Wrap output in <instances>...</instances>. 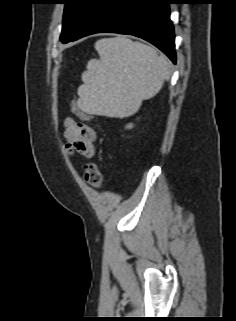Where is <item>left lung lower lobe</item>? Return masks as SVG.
<instances>
[{"label":"left lung lower lobe","mask_w":236,"mask_h":321,"mask_svg":"<svg viewBox=\"0 0 236 321\" xmlns=\"http://www.w3.org/2000/svg\"><path fill=\"white\" fill-rule=\"evenodd\" d=\"M173 3V0H99L70 41L100 32L134 35L158 47L176 64L169 8Z\"/></svg>","instance_id":"obj_1"}]
</instances>
